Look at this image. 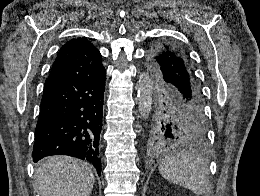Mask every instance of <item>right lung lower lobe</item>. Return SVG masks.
Instances as JSON below:
<instances>
[{"mask_svg":"<svg viewBox=\"0 0 260 196\" xmlns=\"http://www.w3.org/2000/svg\"><path fill=\"white\" fill-rule=\"evenodd\" d=\"M104 89L105 72L43 94L32 153L34 162L51 155L73 156L91 162L100 176Z\"/></svg>","mask_w":260,"mask_h":196,"instance_id":"98d812e1","label":"right lung lower lobe"}]
</instances>
